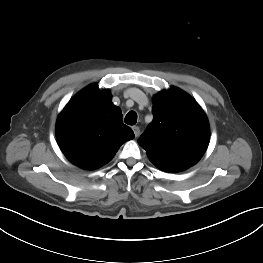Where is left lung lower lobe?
<instances>
[{
	"label": "left lung lower lobe",
	"mask_w": 263,
	"mask_h": 263,
	"mask_svg": "<svg viewBox=\"0 0 263 263\" xmlns=\"http://www.w3.org/2000/svg\"><path fill=\"white\" fill-rule=\"evenodd\" d=\"M153 164H155L159 169L168 171V172H179V171L187 169L186 167L177 166V165H169V164H162V163H153Z\"/></svg>",
	"instance_id": "obj_1"
}]
</instances>
